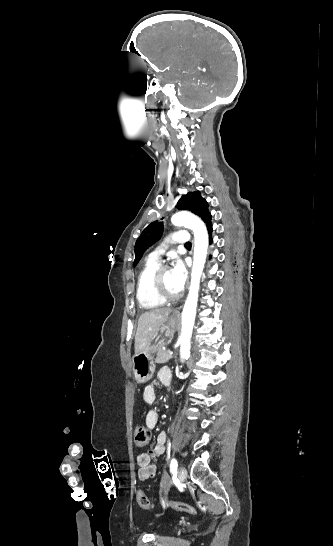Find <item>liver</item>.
<instances>
[{
  "mask_svg": "<svg viewBox=\"0 0 333 546\" xmlns=\"http://www.w3.org/2000/svg\"><path fill=\"white\" fill-rule=\"evenodd\" d=\"M172 312L170 308H158L140 315L135 335V354L143 351L154 338L159 327L168 319Z\"/></svg>",
  "mask_w": 333,
  "mask_h": 546,
  "instance_id": "obj_1",
  "label": "liver"
}]
</instances>
